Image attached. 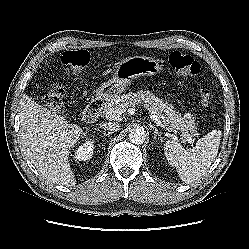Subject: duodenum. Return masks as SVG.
<instances>
[{"label":"duodenum","instance_id":"obj_1","mask_svg":"<svg viewBox=\"0 0 249 249\" xmlns=\"http://www.w3.org/2000/svg\"><path fill=\"white\" fill-rule=\"evenodd\" d=\"M103 100L101 98H94L92 99L87 106L85 107L84 111H83V118L86 121H95L98 117L99 114L102 110L103 107Z\"/></svg>","mask_w":249,"mask_h":249}]
</instances>
